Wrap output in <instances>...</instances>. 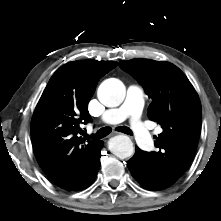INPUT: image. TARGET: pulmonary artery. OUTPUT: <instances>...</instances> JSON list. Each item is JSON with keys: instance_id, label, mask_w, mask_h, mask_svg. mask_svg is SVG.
<instances>
[{"instance_id": "obj_1", "label": "pulmonary artery", "mask_w": 221, "mask_h": 221, "mask_svg": "<svg viewBox=\"0 0 221 221\" xmlns=\"http://www.w3.org/2000/svg\"><path fill=\"white\" fill-rule=\"evenodd\" d=\"M144 106V94L139 86L131 85L127 89L124 103L115 109L102 113L101 120L105 124H117L129 119L131 131L137 144L144 150L153 146V139L150 132L140 120Z\"/></svg>"}]
</instances>
